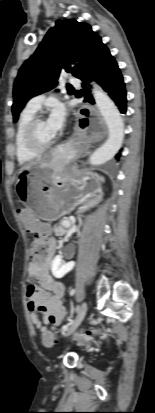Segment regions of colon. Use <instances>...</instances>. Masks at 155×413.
Here are the masks:
<instances>
[{
	"mask_svg": "<svg viewBox=\"0 0 155 413\" xmlns=\"http://www.w3.org/2000/svg\"><path fill=\"white\" fill-rule=\"evenodd\" d=\"M37 233V231H34ZM31 258L35 261L42 262L47 256V248L44 241L38 237L31 246L30 252ZM87 336H104V333L101 330L90 328L86 330ZM42 343L45 346H51L54 343V336L50 331H45L42 333L41 337Z\"/></svg>",
	"mask_w": 155,
	"mask_h": 413,
	"instance_id": "1",
	"label": "colon"
}]
</instances>
